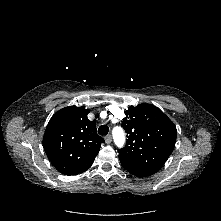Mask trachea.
I'll use <instances>...</instances> for the list:
<instances>
[{"instance_id":"trachea-1","label":"trachea","mask_w":221,"mask_h":221,"mask_svg":"<svg viewBox=\"0 0 221 221\" xmlns=\"http://www.w3.org/2000/svg\"><path fill=\"white\" fill-rule=\"evenodd\" d=\"M108 131H109V128L107 125H101L99 128H98V133L102 136H105L108 134Z\"/></svg>"}]
</instances>
